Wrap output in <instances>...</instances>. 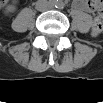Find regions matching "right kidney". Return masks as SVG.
Returning <instances> with one entry per match:
<instances>
[{
    "label": "right kidney",
    "instance_id": "1",
    "mask_svg": "<svg viewBox=\"0 0 103 103\" xmlns=\"http://www.w3.org/2000/svg\"><path fill=\"white\" fill-rule=\"evenodd\" d=\"M15 10H16L15 6H13V5H8V6L6 7V9H5V13H6V14L13 13V12H15Z\"/></svg>",
    "mask_w": 103,
    "mask_h": 103
}]
</instances>
